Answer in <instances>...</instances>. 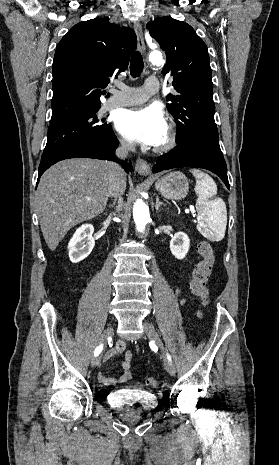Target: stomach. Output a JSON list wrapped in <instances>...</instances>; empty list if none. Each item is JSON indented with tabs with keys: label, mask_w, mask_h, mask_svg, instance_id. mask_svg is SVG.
Returning a JSON list of instances; mask_svg holds the SVG:
<instances>
[{
	"label": "stomach",
	"mask_w": 279,
	"mask_h": 465,
	"mask_svg": "<svg viewBox=\"0 0 279 465\" xmlns=\"http://www.w3.org/2000/svg\"><path fill=\"white\" fill-rule=\"evenodd\" d=\"M156 189L167 199L179 200L184 198L189 191V183L186 176L174 171L158 179Z\"/></svg>",
	"instance_id": "1"
}]
</instances>
